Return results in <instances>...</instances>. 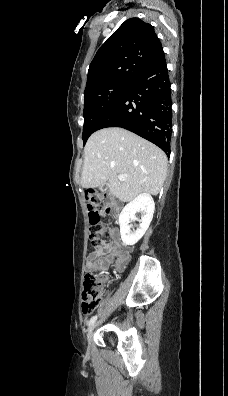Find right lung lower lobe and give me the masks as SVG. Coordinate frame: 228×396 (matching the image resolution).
<instances>
[{
  "label": "right lung lower lobe",
  "instance_id": "obj_1",
  "mask_svg": "<svg viewBox=\"0 0 228 396\" xmlns=\"http://www.w3.org/2000/svg\"><path fill=\"white\" fill-rule=\"evenodd\" d=\"M171 84L163 49L130 83L97 130L127 129L160 147L170 156L172 132Z\"/></svg>",
  "mask_w": 228,
  "mask_h": 396
}]
</instances>
